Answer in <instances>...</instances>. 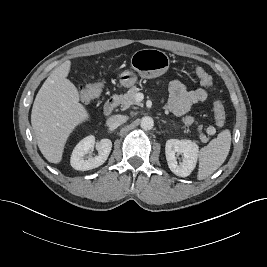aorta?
<instances>
[{
	"label": "aorta",
	"instance_id": "aorta-1",
	"mask_svg": "<svg viewBox=\"0 0 267 267\" xmlns=\"http://www.w3.org/2000/svg\"><path fill=\"white\" fill-rule=\"evenodd\" d=\"M140 126L143 130H151L154 126V121L151 117L145 116L141 119Z\"/></svg>",
	"mask_w": 267,
	"mask_h": 267
}]
</instances>
